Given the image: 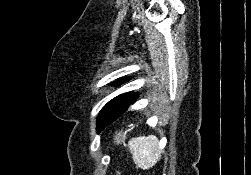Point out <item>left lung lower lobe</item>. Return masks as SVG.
<instances>
[{
	"label": "left lung lower lobe",
	"mask_w": 251,
	"mask_h": 175,
	"mask_svg": "<svg viewBox=\"0 0 251 175\" xmlns=\"http://www.w3.org/2000/svg\"><path fill=\"white\" fill-rule=\"evenodd\" d=\"M137 98V94H133L129 102L126 104H110L105 106L99 114V118L105 121V124H111L114 122L116 119L121 117L123 114L126 113V111L129 109V106L135 102Z\"/></svg>",
	"instance_id": "0a47b994"
}]
</instances>
